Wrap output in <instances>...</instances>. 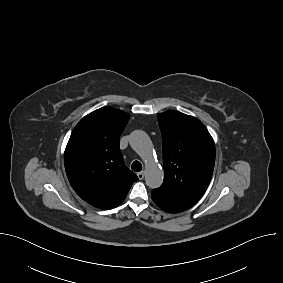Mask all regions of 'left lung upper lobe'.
<instances>
[{
  "mask_svg": "<svg viewBox=\"0 0 283 283\" xmlns=\"http://www.w3.org/2000/svg\"><path fill=\"white\" fill-rule=\"evenodd\" d=\"M162 134L164 182L155 189L185 211L205 193L215 164V143L203 123L178 111L157 115Z\"/></svg>",
  "mask_w": 283,
  "mask_h": 283,
  "instance_id": "obj_1",
  "label": "left lung upper lobe"
}]
</instances>
